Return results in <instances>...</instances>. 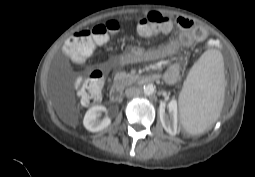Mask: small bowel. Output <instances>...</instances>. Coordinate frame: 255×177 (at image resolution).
I'll return each instance as SVG.
<instances>
[{
  "label": "small bowel",
  "instance_id": "small-bowel-1",
  "mask_svg": "<svg viewBox=\"0 0 255 177\" xmlns=\"http://www.w3.org/2000/svg\"><path fill=\"white\" fill-rule=\"evenodd\" d=\"M175 23L180 31L178 35L153 48L130 47L119 57L118 63L120 65H126L166 59L174 55L181 47L189 46L196 41H201L206 36V32L202 28L195 27L193 22L188 18L178 17ZM171 29L172 26L170 25L167 31ZM181 73V64L174 62L165 72L164 81L169 85L175 84L179 80Z\"/></svg>",
  "mask_w": 255,
  "mask_h": 177
}]
</instances>
